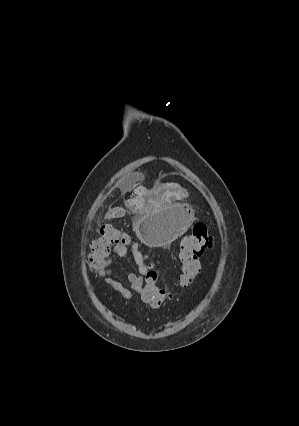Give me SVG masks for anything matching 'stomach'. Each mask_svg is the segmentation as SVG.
I'll use <instances>...</instances> for the list:
<instances>
[{"label": "stomach", "instance_id": "obj_1", "mask_svg": "<svg viewBox=\"0 0 299 426\" xmlns=\"http://www.w3.org/2000/svg\"><path fill=\"white\" fill-rule=\"evenodd\" d=\"M195 220L194 210L186 203L154 207L133 220V230L151 248L166 247L182 236Z\"/></svg>", "mask_w": 299, "mask_h": 426}]
</instances>
